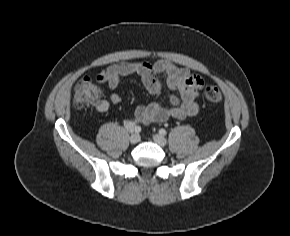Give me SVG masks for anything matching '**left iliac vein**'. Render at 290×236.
<instances>
[{
	"label": "left iliac vein",
	"mask_w": 290,
	"mask_h": 236,
	"mask_svg": "<svg viewBox=\"0 0 290 236\" xmlns=\"http://www.w3.org/2000/svg\"><path fill=\"white\" fill-rule=\"evenodd\" d=\"M153 140L156 144H158L159 146H162V147L165 146L167 143L166 139L160 134H155L153 136Z\"/></svg>",
	"instance_id": "4c4485c4"
}]
</instances>
